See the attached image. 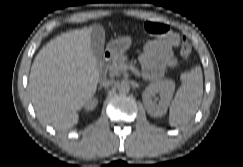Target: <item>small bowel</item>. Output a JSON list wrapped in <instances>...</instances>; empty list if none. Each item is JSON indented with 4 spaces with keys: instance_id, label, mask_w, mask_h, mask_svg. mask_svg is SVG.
Returning <instances> with one entry per match:
<instances>
[{
    "instance_id": "small-bowel-1",
    "label": "small bowel",
    "mask_w": 243,
    "mask_h": 167,
    "mask_svg": "<svg viewBox=\"0 0 243 167\" xmlns=\"http://www.w3.org/2000/svg\"><path fill=\"white\" fill-rule=\"evenodd\" d=\"M179 45V37L174 32H167L160 38L149 41L143 48L139 60L144 78L156 80L169 68L177 65L173 49Z\"/></svg>"
}]
</instances>
